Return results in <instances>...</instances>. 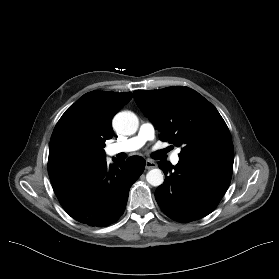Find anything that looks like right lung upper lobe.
Instances as JSON below:
<instances>
[{"instance_id": "1", "label": "right lung upper lobe", "mask_w": 279, "mask_h": 279, "mask_svg": "<svg viewBox=\"0 0 279 279\" xmlns=\"http://www.w3.org/2000/svg\"><path fill=\"white\" fill-rule=\"evenodd\" d=\"M132 98L131 92L92 91L80 97L62 115L50 140L48 173L80 168L105 159V141L114 135L111 121ZM71 145L81 146L85 160L76 166L60 164L63 150Z\"/></svg>"}]
</instances>
